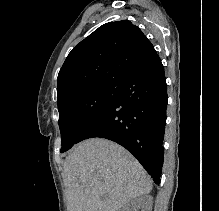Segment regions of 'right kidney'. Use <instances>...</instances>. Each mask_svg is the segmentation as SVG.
Listing matches in <instances>:
<instances>
[{"label": "right kidney", "mask_w": 219, "mask_h": 211, "mask_svg": "<svg viewBox=\"0 0 219 211\" xmlns=\"http://www.w3.org/2000/svg\"><path fill=\"white\" fill-rule=\"evenodd\" d=\"M153 199L152 195H143V197H134L131 203L126 205L124 211H152Z\"/></svg>", "instance_id": "right-kidney-1"}]
</instances>
